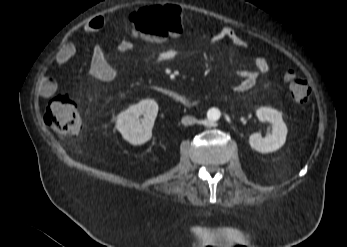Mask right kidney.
<instances>
[{"label":"right kidney","mask_w":347,"mask_h":247,"mask_svg":"<svg viewBox=\"0 0 347 247\" xmlns=\"http://www.w3.org/2000/svg\"><path fill=\"white\" fill-rule=\"evenodd\" d=\"M158 113V104L152 99H145L121 112L116 121V128L122 137L133 145L147 142L152 136V127ZM143 115V119L139 117Z\"/></svg>","instance_id":"ca27d5eb"}]
</instances>
